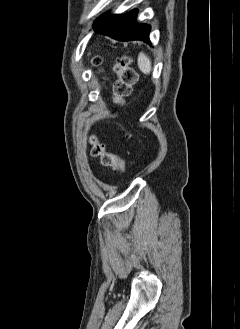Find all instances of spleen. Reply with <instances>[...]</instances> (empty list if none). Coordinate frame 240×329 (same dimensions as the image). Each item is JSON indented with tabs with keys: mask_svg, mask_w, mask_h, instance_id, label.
Instances as JSON below:
<instances>
[{
	"mask_svg": "<svg viewBox=\"0 0 240 329\" xmlns=\"http://www.w3.org/2000/svg\"><path fill=\"white\" fill-rule=\"evenodd\" d=\"M138 67L140 71L146 75L151 72V60L143 52H140L138 55Z\"/></svg>",
	"mask_w": 240,
	"mask_h": 329,
	"instance_id": "3e777b00",
	"label": "spleen"
}]
</instances>
